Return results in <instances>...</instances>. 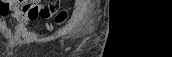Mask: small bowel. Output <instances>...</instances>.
Returning a JSON list of instances; mask_svg holds the SVG:
<instances>
[{
  "label": "small bowel",
  "mask_w": 172,
  "mask_h": 57,
  "mask_svg": "<svg viewBox=\"0 0 172 57\" xmlns=\"http://www.w3.org/2000/svg\"><path fill=\"white\" fill-rule=\"evenodd\" d=\"M50 4H52L56 8H58V6H59L58 1H52ZM26 5L28 7H38V8H43V7L49 6V5L48 6H39L38 0H25V1H17V0L2 1V0H0V17H2L7 22L10 20H15V21L27 24L31 21L36 20L37 18L48 19L54 13V12H48L47 14H38L35 16H31V15H28L23 12V8ZM10 11H12V17H11V19H8L7 16Z\"/></svg>",
  "instance_id": "obj_1"
}]
</instances>
